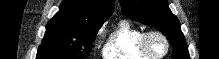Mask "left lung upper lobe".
<instances>
[{
  "label": "left lung upper lobe",
  "instance_id": "obj_1",
  "mask_svg": "<svg viewBox=\"0 0 219 59\" xmlns=\"http://www.w3.org/2000/svg\"><path fill=\"white\" fill-rule=\"evenodd\" d=\"M124 13L132 20L150 25L163 33L173 47L172 59H190L188 46L178 18L167 0H119Z\"/></svg>",
  "mask_w": 219,
  "mask_h": 59
}]
</instances>
